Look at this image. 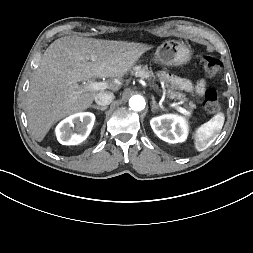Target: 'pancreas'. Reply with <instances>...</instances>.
<instances>
[{
  "label": "pancreas",
  "mask_w": 253,
  "mask_h": 253,
  "mask_svg": "<svg viewBox=\"0 0 253 253\" xmlns=\"http://www.w3.org/2000/svg\"><path fill=\"white\" fill-rule=\"evenodd\" d=\"M132 74L135 75L136 77H140L142 79H147V80H150L152 77L157 76L159 80L165 84V87L167 88L168 98L173 99L175 101L177 100L182 103H185L188 101L185 94L176 91V87L173 84L175 77L170 76L165 71L157 72L155 75L151 69H148L147 66L139 65V66L133 67ZM169 83H171V85H169ZM189 108L190 109L195 108V104L191 101L189 102Z\"/></svg>",
  "instance_id": "obj_1"
}]
</instances>
